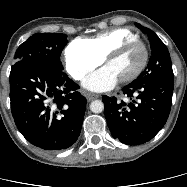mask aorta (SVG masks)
Listing matches in <instances>:
<instances>
[{
  "label": "aorta",
  "instance_id": "1",
  "mask_svg": "<svg viewBox=\"0 0 187 187\" xmlns=\"http://www.w3.org/2000/svg\"><path fill=\"white\" fill-rule=\"evenodd\" d=\"M90 110L93 113H101L104 110V103L101 100H94L90 104Z\"/></svg>",
  "mask_w": 187,
  "mask_h": 187
}]
</instances>
